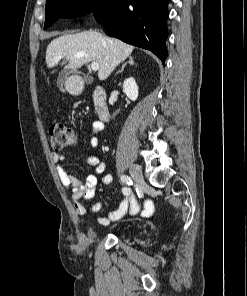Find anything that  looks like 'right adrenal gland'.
Here are the masks:
<instances>
[{
  "label": "right adrenal gland",
  "instance_id": "right-adrenal-gland-1",
  "mask_svg": "<svg viewBox=\"0 0 247 296\" xmlns=\"http://www.w3.org/2000/svg\"><path fill=\"white\" fill-rule=\"evenodd\" d=\"M127 64L134 65V61H133V58L131 56L129 57V60L122 65L121 70H119L116 74L123 72V70H124V68H125V66Z\"/></svg>",
  "mask_w": 247,
  "mask_h": 296
}]
</instances>
